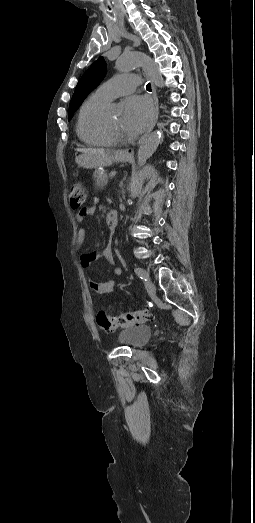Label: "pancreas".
<instances>
[{
    "label": "pancreas",
    "mask_w": 255,
    "mask_h": 523,
    "mask_svg": "<svg viewBox=\"0 0 255 523\" xmlns=\"http://www.w3.org/2000/svg\"><path fill=\"white\" fill-rule=\"evenodd\" d=\"M93 178L95 180L96 186H100V188H104V186H106L108 180L107 174H101L100 170H95Z\"/></svg>",
    "instance_id": "cf45deb5"
}]
</instances>
